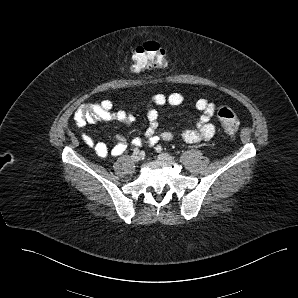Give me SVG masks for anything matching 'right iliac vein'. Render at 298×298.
I'll return each instance as SVG.
<instances>
[{"label":"right iliac vein","mask_w":298,"mask_h":298,"mask_svg":"<svg viewBox=\"0 0 298 298\" xmlns=\"http://www.w3.org/2000/svg\"><path fill=\"white\" fill-rule=\"evenodd\" d=\"M140 159H141V156L139 155V154H132V156H131V160L133 161V162H135V163H137V162H139L140 161Z\"/></svg>","instance_id":"right-iliac-vein-1"}]
</instances>
